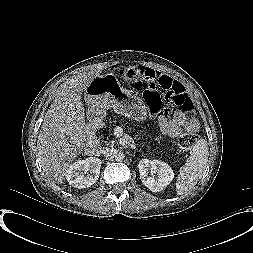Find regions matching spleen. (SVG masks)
Returning <instances> with one entry per match:
<instances>
[{
    "instance_id": "1",
    "label": "spleen",
    "mask_w": 253,
    "mask_h": 253,
    "mask_svg": "<svg viewBox=\"0 0 253 253\" xmlns=\"http://www.w3.org/2000/svg\"><path fill=\"white\" fill-rule=\"evenodd\" d=\"M208 146L205 139L198 140L192 148L190 157L185 165L179 170L176 183V191L178 195L186 193L195 186L202 176L208 161Z\"/></svg>"
}]
</instances>
